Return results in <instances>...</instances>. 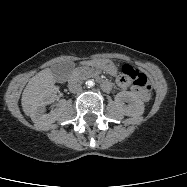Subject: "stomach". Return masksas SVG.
<instances>
[{
  "mask_svg": "<svg viewBox=\"0 0 187 187\" xmlns=\"http://www.w3.org/2000/svg\"><path fill=\"white\" fill-rule=\"evenodd\" d=\"M89 64L92 65L93 67L99 68L109 74H116V72H117L116 66L109 59L96 58V59L91 60L89 62Z\"/></svg>",
  "mask_w": 187,
  "mask_h": 187,
  "instance_id": "stomach-1",
  "label": "stomach"
}]
</instances>
